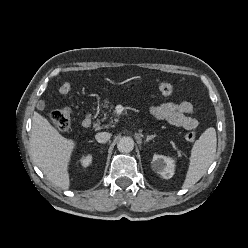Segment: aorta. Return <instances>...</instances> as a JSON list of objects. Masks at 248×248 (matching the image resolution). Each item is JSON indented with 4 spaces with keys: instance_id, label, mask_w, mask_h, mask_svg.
Wrapping results in <instances>:
<instances>
[{
    "instance_id": "762f6f07",
    "label": "aorta",
    "mask_w": 248,
    "mask_h": 248,
    "mask_svg": "<svg viewBox=\"0 0 248 248\" xmlns=\"http://www.w3.org/2000/svg\"><path fill=\"white\" fill-rule=\"evenodd\" d=\"M117 148L122 153H129L134 148V141L131 137H121L117 143Z\"/></svg>"
}]
</instances>
